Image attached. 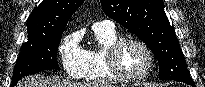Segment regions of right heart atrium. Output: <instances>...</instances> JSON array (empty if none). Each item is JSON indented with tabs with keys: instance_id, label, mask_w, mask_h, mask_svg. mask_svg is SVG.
<instances>
[{
	"instance_id": "1",
	"label": "right heart atrium",
	"mask_w": 205,
	"mask_h": 87,
	"mask_svg": "<svg viewBox=\"0 0 205 87\" xmlns=\"http://www.w3.org/2000/svg\"><path fill=\"white\" fill-rule=\"evenodd\" d=\"M58 52L66 73L74 78L80 77L85 65V56L78 36L76 34L65 36L59 45Z\"/></svg>"
}]
</instances>
